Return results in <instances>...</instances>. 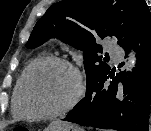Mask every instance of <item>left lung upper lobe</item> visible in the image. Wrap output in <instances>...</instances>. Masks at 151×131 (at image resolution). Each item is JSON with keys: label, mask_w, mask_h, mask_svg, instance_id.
I'll use <instances>...</instances> for the list:
<instances>
[{"label": "left lung upper lobe", "mask_w": 151, "mask_h": 131, "mask_svg": "<svg viewBox=\"0 0 151 131\" xmlns=\"http://www.w3.org/2000/svg\"><path fill=\"white\" fill-rule=\"evenodd\" d=\"M144 0H62L38 20L26 44L36 48L56 37L84 52L87 89L110 71L99 38L115 37L122 46Z\"/></svg>", "instance_id": "left-lung-upper-lobe-1"}]
</instances>
